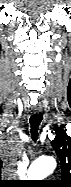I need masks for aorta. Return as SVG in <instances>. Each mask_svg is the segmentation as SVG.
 <instances>
[{"label": "aorta", "mask_w": 71, "mask_h": 187, "mask_svg": "<svg viewBox=\"0 0 71 187\" xmlns=\"http://www.w3.org/2000/svg\"><path fill=\"white\" fill-rule=\"evenodd\" d=\"M56 168V160L53 157L39 158L28 169L29 180H43Z\"/></svg>", "instance_id": "762f6f07"}]
</instances>
